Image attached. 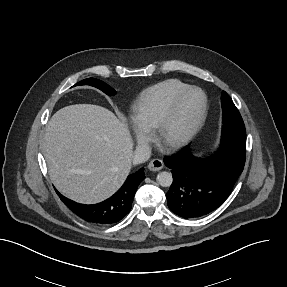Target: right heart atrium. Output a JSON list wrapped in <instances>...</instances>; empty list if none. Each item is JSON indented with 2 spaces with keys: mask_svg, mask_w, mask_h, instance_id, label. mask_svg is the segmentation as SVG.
Here are the masks:
<instances>
[{
  "mask_svg": "<svg viewBox=\"0 0 287 287\" xmlns=\"http://www.w3.org/2000/svg\"><path fill=\"white\" fill-rule=\"evenodd\" d=\"M144 135V137H147V134H143Z\"/></svg>",
  "mask_w": 287,
  "mask_h": 287,
  "instance_id": "d8ad5b80",
  "label": "right heart atrium"
}]
</instances>
